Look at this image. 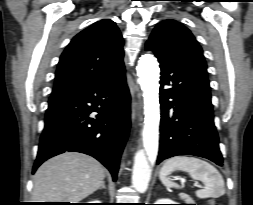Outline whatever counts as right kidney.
I'll return each instance as SVG.
<instances>
[{
    "mask_svg": "<svg viewBox=\"0 0 253 205\" xmlns=\"http://www.w3.org/2000/svg\"><path fill=\"white\" fill-rule=\"evenodd\" d=\"M90 203H100V201H91Z\"/></svg>",
    "mask_w": 253,
    "mask_h": 205,
    "instance_id": "obj_1",
    "label": "right kidney"
}]
</instances>
